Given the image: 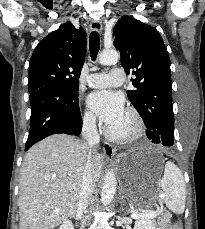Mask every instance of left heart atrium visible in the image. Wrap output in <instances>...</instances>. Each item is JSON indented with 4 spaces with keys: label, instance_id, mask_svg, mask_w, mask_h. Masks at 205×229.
Here are the masks:
<instances>
[{
    "label": "left heart atrium",
    "instance_id": "obj_1",
    "mask_svg": "<svg viewBox=\"0 0 205 229\" xmlns=\"http://www.w3.org/2000/svg\"><path fill=\"white\" fill-rule=\"evenodd\" d=\"M87 104L108 127L118 122L125 113L123 96L110 90L92 92Z\"/></svg>",
    "mask_w": 205,
    "mask_h": 229
}]
</instances>
